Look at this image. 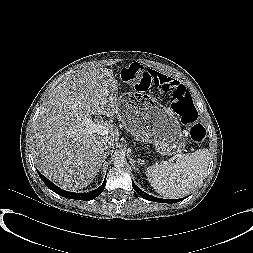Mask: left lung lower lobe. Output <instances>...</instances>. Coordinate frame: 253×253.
I'll return each instance as SVG.
<instances>
[{
  "label": "left lung lower lobe",
  "mask_w": 253,
  "mask_h": 253,
  "mask_svg": "<svg viewBox=\"0 0 253 253\" xmlns=\"http://www.w3.org/2000/svg\"><path fill=\"white\" fill-rule=\"evenodd\" d=\"M133 188L134 190L144 199L149 200V201H155V202H160V203H176L179 201H182L184 198L181 199H173V200H168V199H161V198H156L153 197L145 192H143L141 189H139L134 182H132Z\"/></svg>",
  "instance_id": "1"
}]
</instances>
